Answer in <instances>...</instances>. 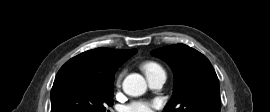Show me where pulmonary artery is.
<instances>
[{
  "mask_svg": "<svg viewBox=\"0 0 270 112\" xmlns=\"http://www.w3.org/2000/svg\"><path fill=\"white\" fill-rule=\"evenodd\" d=\"M148 84L151 88H160L166 81V73L163 70L146 75Z\"/></svg>",
  "mask_w": 270,
  "mask_h": 112,
  "instance_id": "obj_1",
  "label": "pulmonary artery"
}]
</instances>
